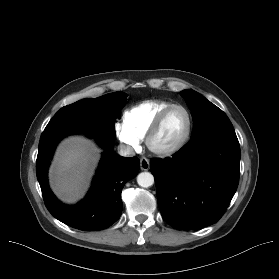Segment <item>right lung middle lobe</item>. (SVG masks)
Masks as SVG:
<instances>
[{
	"mask_svg": "<svg viewBox=\"0 0 279 279\" xmlns=\"http://www.w3.org/2000/svg\"><path fill=\"white\" fill-rule=\"evenodd\" d=\"M126 101L127 94L124 92L79 100L62 107L50 120L45 130L69 123H83L110 138H115V120Z\"/></svg>",
	"mask_w": 279,
	"mask_h": 279,
	"instance_id": "dd1d6c3e",
	"label": "right lung middle lobe"
}]
</instances>
